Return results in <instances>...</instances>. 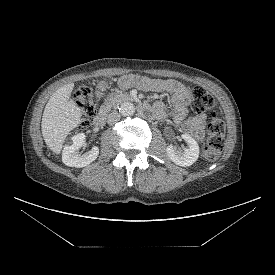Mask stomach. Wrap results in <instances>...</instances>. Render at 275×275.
<instances>
[{"label":"stomach","mask_w":275,"mask_h":275,"mask_svg":"<svg viewBox=\"0 0 275 275\" xmlns=\"http://www.w3.org/2000/svg\"><path fill=\"white\" fill-rule=\"evenodd\" d=\"M105 87H106V83L101 82V83L99 84V88H100L101 90H103Z\"/></svg>","instance_id":"0dacf381"}]
</instances>
